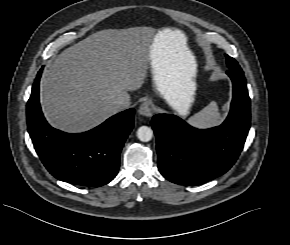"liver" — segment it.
I'll return each instance as SVG.
<instances>
[{
	"label": "liver",
	"instance_id": "liver-1",
	"mask_svg": "<svg viewBox=\"0 0 290 245\" xmlns=\"http://www.w3.org/2000/svg\"><path fill=\"white\" fill-rule=\"evenodd\" d=\"M156 38L169 89L190 82L197 64L182 31L164 29L152 39L137 28L102 30L65 49L44 73L40 101L47 120L61 130L82 132L117 113V99L129 106L128 91L144 83Z\"/></svg>",
	"mask_w": 290,
	"mask_h": 245
}]
</instances>
